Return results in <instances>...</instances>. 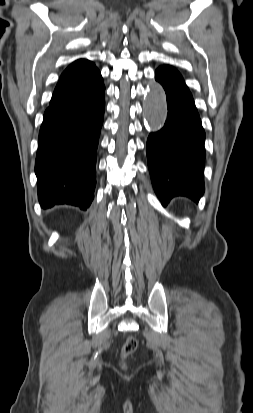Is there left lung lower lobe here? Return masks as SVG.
I'll use <instances>...</instances> for the list:
<instances>
[{"label":"left lung lower lobe","mask_w":253,"mask_h":413,"mask_svg":"<svg viewBox=\"0 0 253 413\" xmlns=\"http://www.w3.org/2000/svg\"><path fill=\"white\" fill-rule=\"evenodd\" d=\"M155 79L165 90L168 114L164 127L147 139L153 188L162 205L179 195L198 202L204 193L205 161V132L198 111L175 68L159 67Z\"/></svg>","instance_id":"left-lung-lower-lobe-1"}]
</instances>
